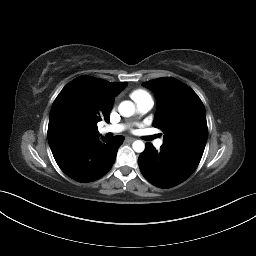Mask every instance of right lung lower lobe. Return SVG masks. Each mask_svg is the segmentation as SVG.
Instances as JSON below:
<instances>
[{
    "label": "right lung lower lobe",
    "instance_id": "98d812e1",
    "mask_svg": "<svg viewBox=\"0 0 256 256\" xmlns=\"http://www.w3.org/2000/svg\"><path fill=\"white\" fill-rule=\"evenodd\" d=\"M98 140V135L69 141L52 149L61 170L78 182H91L104 176L115 162L123 136Z\"/></svg>",
    "mask_w": 256,
    "mask_h": 256
}]
</instances>
